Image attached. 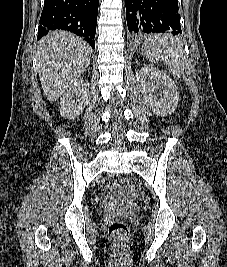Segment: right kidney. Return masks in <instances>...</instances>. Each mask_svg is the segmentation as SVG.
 <instances>
[{
  "label": "right kidney",
  "instance_id": "obj_1",
  "mask_svg": "<svg viewBox=\"0 0 227 267\" xmlns=\"http://www.w3.org/2000/svg\"><path fill=\"white\" fill-rule=\"evenodd\" d=\"M88 96L89 83L83 79L74 82L60 99V115L67 119L79 116L88 102Z\"/></svg>",
  "mask_w": 227,
  "mask_h": 267
}]
</instances>
